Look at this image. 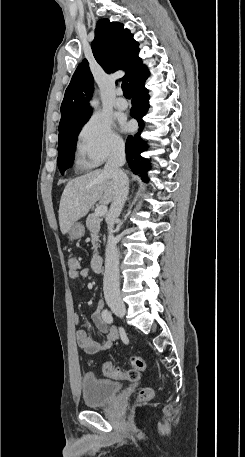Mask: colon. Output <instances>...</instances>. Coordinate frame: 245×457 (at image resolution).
I'll return each instance as SVG.
<instances>
[{"mask_svg": "<svg viewBox=\"0 0 245 457\" xmlns=\"http://www.w3.org/2000/svg\"><path fill=\"white\" fill-rule=\"evenodd\" d=\"M70 271H75L78 268V261L74 256L68 257L67 260ZM129 363L131 365L130 370H123L120 366L114 362L107 361L103 364V373L111 378L125 379L129 381H137L140 378V371L145 368V361L142 357L134 355L130 357ZM153 396L151 388H143L138 395L139 402H146Z\"/></svg>", "mask_w": 245, "mask_h": 457, "instance_id": "obj_1", "label": "colon"}]
</instances>
